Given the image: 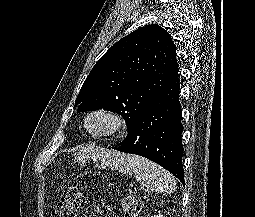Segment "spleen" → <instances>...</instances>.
<instances>
[{
  "label": "spleen",
  "instance_id": "3e777b00",
  "mask_svg": "<svg viewBox=\"0 0 255 217\" xmlns=\"http://www.w3.org/2000/svg\"><path fill=\"white\" fill-rule=\"evenodd\" d=\"M111 167L122 173L133 172L136 180L152 191L172 194L176 189L175 178L161 166L146 158L118 154L112 158Z\"/></svg>",
  "mask_w": 255,
  "mask_h": 217
}]
</instances>
